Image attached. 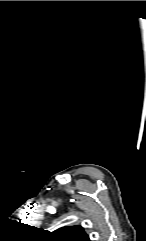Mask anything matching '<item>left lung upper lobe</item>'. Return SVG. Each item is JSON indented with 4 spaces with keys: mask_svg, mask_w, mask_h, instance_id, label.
I'll return each mask as SVG.
<instances>
[{
    "mask_svg": "<svg viewBox=\"0 0 146 241\" xmlns=\"http://www.w3.org/2000/svg\"><path fill=\"white\" fill-rule=\"evenodd\" d=\"M54 241H90L81 226L60 228L52 232Z\"/></svg>",
    "mask_w": 146,
    "mask_h": 241,
    "instance_id": "1",
    "label": "left lung upper lobe"
}]
</instances>
